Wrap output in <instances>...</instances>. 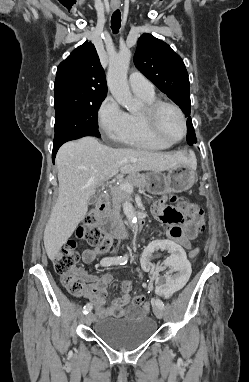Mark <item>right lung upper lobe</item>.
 I'll list each match as a JSON object with an SVG mask.
<instances>
[{"label":"right lung upper lobe","mask_w":249,"mask_h":382,"mask_svg":"<svg viewBox=\"0 0 249 382\" xmlns=\"http://www.w3.org/2000/svg\"><path fill=\"white\" fill-rule=\"evenodd\" d=\"M54 106L104 98L107 84L94 45L86 41L59 64Z\"/></svg>","instance_id":"cb5924a9"}]
</instances>
